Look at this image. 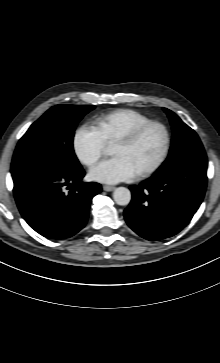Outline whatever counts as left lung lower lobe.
<instances>
[{"instance_id": "0a47b994", "label": "left lung lower lobe", "mask_w": 220, "mask_h": 363, "mask_svg": "<svg viewBox=\"0 0 220 363\" xmlns=\"http://www.w3.org/2000/svg\"><path fill=\"white\" fill-rule=\"evenodd\" d=\"M206 172L207 157L191 156L159 169L139 186H130L132 200L124 211L129 227L147 240L177 234L203 200Z\"/></svg>"}]
</instances>
